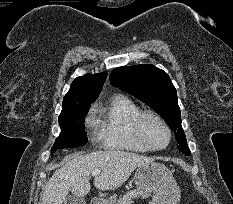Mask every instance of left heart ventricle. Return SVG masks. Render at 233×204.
Wrapping results in <instances>:
<instances>
[{
  "label": "left heart ventricle",
  "mask_w": 233,
  "mask_h": 204,
  "mask_svg": "<svg viewBox=\"0 0 233 204\" xmlns=\"http://www.w3.org/2000/svg\"><path fill=\"white\" fill-rule=\"evenodd\" d=\"M143 132L147 141L154 147L164 146L167 142L168 137L165 128L153 118L145 120Z\"/></svg>",
  "instance_id": "left-heart-ventricle-1"
}]
</instances>
